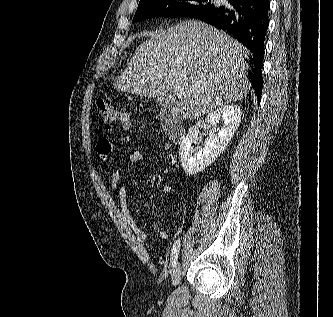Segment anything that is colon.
<instances>
[{
  "label": "colon",
  "instance_id": "colon-1",
  "mask_svg": "<svg viewBox=\"0 0 333 317\" xmlns=\"http://www.w3.org/2000/svg\"><path fill=\"white\" fill-rule=\"evenodd\" d=\"M97 109L102 117L103 128L107 131L116 122L121 124L123 128H126L130 123L129 113L115 106L102 103L98 104Z\"/></svg>",
  "mask_w": 333,
  "mask_h": 317
}]
</instances>
